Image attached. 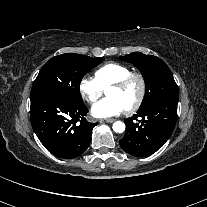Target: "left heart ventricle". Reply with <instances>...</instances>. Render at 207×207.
<instances>
[{"instance_id": "left-heart-ventricle-1", "label": "left heart ventricle", "mask_w": 207, "mask_h": 207, "mask_svg": "<svg viewBox=\"0 0 207 207\" xmlns=\"http://www.w3.org/2000/svg\"><path fill=\"white\" fill-rule=\"evenodd\" d=\"M138 94L139 84L137 82H133L124 90H119L111 87L108 91V97L120 100L126 108L134 103L138 97Z\"/></svg>"}]
</instances>
